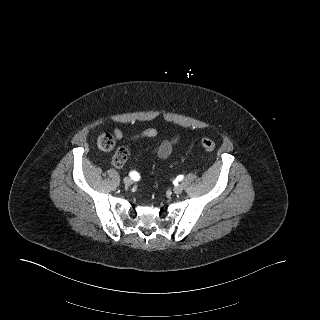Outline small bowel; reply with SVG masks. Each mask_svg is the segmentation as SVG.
Returning <instances> with one entry per match:
<instances>
[{
  "instance_id": "1",
  "label": "small bowel",
  "mask_w": 320,
  "mask_h": 320,
  "mask_svg": "<svg viewBox=\"0 0 320 320\" xmlns=\"http://www.w3.org/2000/svg\"><path fill=\"white\" fill-rule=\"evenodd\" d=\"M115 138L119 141L124 139V134L121 129L115 128L113 131ZM157 136V131L154 128H148L140 133L134 135L132 139H139V138H155ZM179 142V137L175 136L171 139L161 141L155 148L156 155L161 159L168 158L175 145ZM124 148V147H123ZM126 149V148H125Z\"/></svg>"
}]
</instances>
